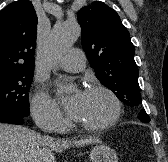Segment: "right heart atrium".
<instances>
[{
	"label": "right heart atrium",
	"instance_id": "1",
	"mask_svg": "<svg viewBox=\"0 0 168 162\" xmlns=\"http://www.w3.org/2000/svg\"><path fill=\"white\" fill-rule=\"evenodd\" d=\"M31 114L42 129L52 132L62 130L66 119L56 102L43 90H37L31 100Z\"/></svg>",
	"mask_w": 168,
	"mask_h": 162
}]
</instances>
